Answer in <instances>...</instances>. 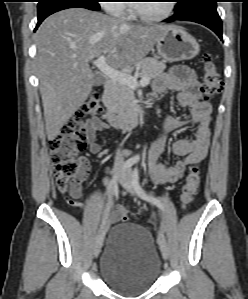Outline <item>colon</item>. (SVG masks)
I'll return each mask as SVG.
<instances>
[{
	"label": "colon",
	"instance_id": "obj_1",
	"mask_svg": "<svg viewBox=\"0 0 248 299\" xmlns=\"http://www.w3.org/2000/svg\"><path fill=\"white\" fill-rule=\"evenodd\" d=\"M202 93L205 99L217 95L222 88V82L214 63L213 56L205 53L202 57ZM103 109L99 94L94 92L82 104L78 117L98 116ZM86 147V135L75 120L67 122L62 130L50 140L49 148L52 162V173L56 178L60 192L67 196L69 203H73L80 195L82 182L86 176V163L80 153ZM200 172L192 168L182 187L181 202L184 207L189 205L200 187ZM121 222H128L127 209L121 206L118 209Z\"/></svg>",
	"mask_w": 248,
	"mask_h": 299
}]
</instances>
